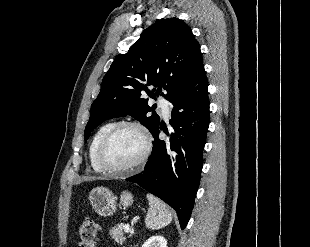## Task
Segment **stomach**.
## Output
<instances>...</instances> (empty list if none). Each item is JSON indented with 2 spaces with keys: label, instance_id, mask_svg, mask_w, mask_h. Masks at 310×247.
Listing matches in <instances>:
<instances>
[{
  "label": "stomach",
  "instance_id": "0dacf381",
  "mask_svg": "<svg viewBox=\"0 0 310 247\" xmlns=\"http://www.w3.org/2000/svg\"><path fill=\"white\" fill-rule=\"evenodd\" d=\"M93 209L100 216H111L116 212V197L113 192L103 186L93 188L88 197ZM120 203L124 207L131 206L133 203V196L128 191H123L120 196Z\"/></svg>",
  "mask_w": 310,
  "mask_h": 247
}]
</instances>
